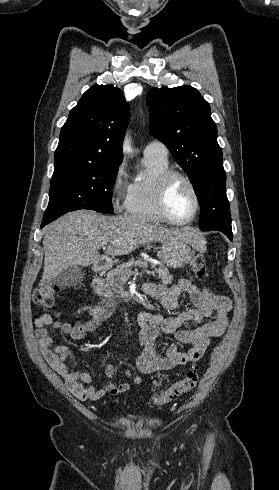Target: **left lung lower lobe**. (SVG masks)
<instances>
[{"label":"left lung lower lobe","instance_id":"left-lung-lower-lobe-1","mask_svg":"<svg viewBox=\"0 0 279 490\" xmlns=\"http://www.w3.org/2000/svg\"><path fill=\"white\" fill-rule=\"evenodd\" d=\"M228 238L232 240V231L227 234Z\"/></svg>","mask_w":279,"mask_h":490}]
</instances>
